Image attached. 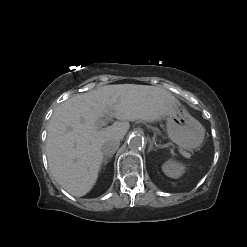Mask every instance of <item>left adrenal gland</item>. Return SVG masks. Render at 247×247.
Instances as JSON below:
<instances>
[{"instance_id": "obj_1", "label": "left adrenal gland", "mask_w": 247, "mask_h": 247, "mask_svg": "<svg viewBox=\"0 0 247 247\" xmlns=\"http://www.w3.org/2000/svg\"><path fill=\"white\" fill-rule=\"evenodd\" d=\"M152 150L155 151V148L153 147V143H152V141L150 140V146H149L148 151L150 152V151H152Z\"/></svg>"}]
</instances>
